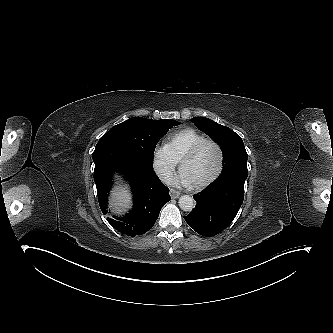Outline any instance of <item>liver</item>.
Here are the masks:
<instances>
[{"mask_svg": "<svg viewBox=\"0 0 333 333\" xmlns=\"http://www.w3.org/2000/svg\"><path fill=\"white\" fill-rule=\"evenodd\" d=\"M131 196L130 193L123 187H116L112 192V197L110 199V207L116 213H121L130 208Z\"/></svg>", "mask_w": 333, "mask_h": 333, "instance_id": "6515ba94", "label": "liver"}]
</instances>
